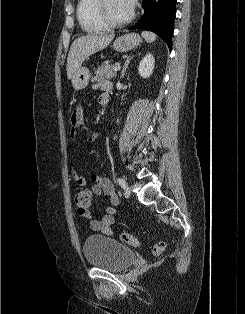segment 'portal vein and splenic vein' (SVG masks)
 I'll return each instance as SVG.
<instances>
[{"label": "portal vein and splenic vein", "mask_w": 245, "mask_h": 314, "mask_svg": "<svg viewBox=\"0 0 245 314\" xmlns=\"http://www.w3.org/2000/svg\"><path fill=\"white\" fill-rule=\"evenodd\" d=\"M120 69H121V66L118 65V66H116V67L113 69V71H114V72H117V71H119Z\"/></svg>", "instance_id": "1"}]
</instances>
